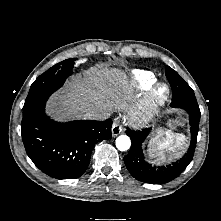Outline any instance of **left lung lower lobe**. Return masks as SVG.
<instances>
[{
	"label": "left lung lower lobe",
	"mask_w": 221,
	"mask_h": 221,
	"mask_svg": "<svg viewBox=\"0 0 221 221\" xmlns=\"http://www.w3.org/2000/svg\"><path fill=\"white\" fill-rule=\"evenodd\" d=\"M173 108H182L189 114L191 144L187 153L179 161L168 166L154 167L144 161L142 143L150 132V128L142 131L128 129L127 135L132 141V147L127 156L124 157L125 165L130 174L139 181L151 184H164L179 176L191 162L196 143L200 121V109L197 104L193 90L184 80H178L171 84Z\"/></svg>",
	"instance_id": "left-lung-lower-lobe-1"
}]
</instances>
